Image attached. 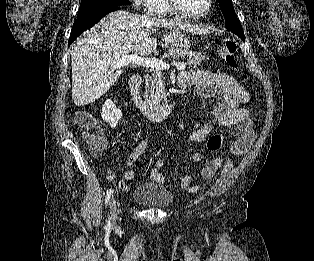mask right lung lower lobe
Returning <instances> with one entry per match:
<instances>
[{"label":"right lung lower lobe","mask_w":314,"mask_h":261,"mask_svg":"<svg viewBox=\"0 0 314 261\" xmlns=\"http://www.w3.org/2000/svg\"><path fill=\"white\" fill-rule=\"evenodd\" d=\"M119 5H113L108 8L101 9L95 13H92L86 17L79 18L75 20L73 24V28L70 34L68 46L84 31L91 28L93 25H95L97 22H99L105 15L108 13L119 10Z\"/></svg>","instance_id":"right-lung-lower-lobe-1"}]
</instances>
